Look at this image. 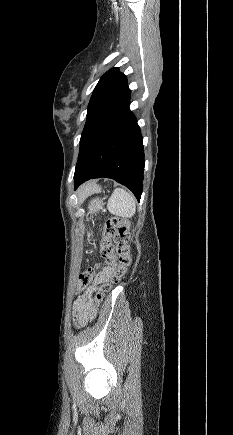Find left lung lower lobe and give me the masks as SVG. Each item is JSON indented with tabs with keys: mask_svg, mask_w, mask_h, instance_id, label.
Returning <instances> with one entry per match:
<instances>
[{
	"mask_svg": "<svg viewBox=\"0 0 233 435\" xmlns=\"http://www.w3.org/2000/svg\"><path fill=\"white\" fill-rule=\"evenodd\" d=\"M144 151L140 127L128 110L108 124L78 157L75 189L91 178L106 177L129 188L139 201Z\"/></svg>",
	"mask_w": 233,
	"mask_h": 435,
	"instance_id": "obj_1",
	"label": "left lung lower lobe"
}]
</instances>
